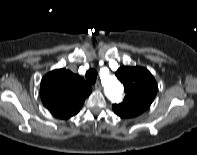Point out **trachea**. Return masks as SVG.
<instances>
[{
	"instance_id": "obj_1",
	"label": "trachea",
	"mask_w": 197,
	"mask_h": 155,
	"mask_svg": "<svg viewBox=\"0 0 197 155\" xmlns=\"http://www.w3.org/2000/svg\"><path fill=\"white\" fill-rule=\"evenodd\" d=\"M97 71L95 69H90L87 71L86 73V80L90 83V84H94L96 82L97 79Z\"/></svg>"
}]
</instances>
